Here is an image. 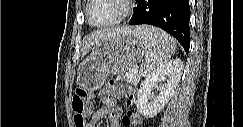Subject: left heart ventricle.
I'll use <instances>...</instances> for the list:
<instances>
[{
    "label": "left heart ventricle",
    "instance_id": "b2bd125f",
    "mask_svg": "<svg viewBox=\"0 0 243 127\" xmlns=\"http://www.w3.org/2000/svg\"><path fill=\"white\" fill-rule=\"evenodd\" d=\"M119 0H94L90 7V18L95 24L107 23L122 13Z\"/></svg>",
    "mask_w": 243,
    "mask_h": 127
}]
</instances>
